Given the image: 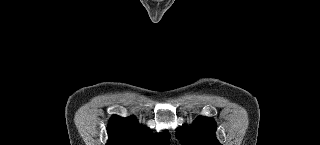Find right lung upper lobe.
Returning <instances> with one entry per match:
<instances>
[{"label": "right lung upper lobe", "mask_w": 320, "mask_h": 145, "mask_svg": "<svg viewBox=\"0 0 320 145\" xmlns=\"http://www.w3.org/2000/svg\"><path fill=\"white\" fill-rule=\"evenodd\" d=\"M108 136L107 145H163L170 138L167 132L151 133L147 127L140 126L134 116L121 118L117 115L110 119Z\"/></svg>", "instance_id": "cb5924a9"}]
</instances>
